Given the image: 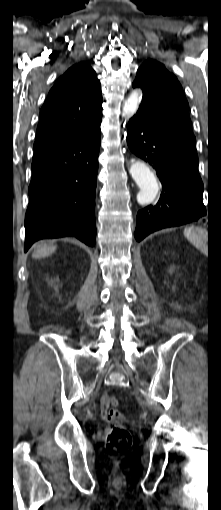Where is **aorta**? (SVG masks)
Returning a JSON list of instances; mask_svg holds the SVG:
<instances>
[{
  "instance_id": "obj_1",
  "label": "aorta",
  "mask_w": 221,
  "mask_h": 510,
  "mask_svg": "<svg viewBox=\"0 0 221 510\" xmlns=\"http://www.w3.org/2000/svg\"><path fill=\"white\" fill-rule=\"evenodd\" d=\"M140 101V93L137 90L131 92L124 104L123 115L133 116L138 110ZM129 171L140 189L137 194V202L140 205L153 202L158 193V183L151 169L144 162L136 161L131 164Z\"/></svg>"
}]
</instances>
